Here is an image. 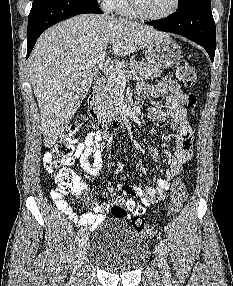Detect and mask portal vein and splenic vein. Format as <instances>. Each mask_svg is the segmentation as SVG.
<instances>
[{"mask_svg":"<svg viewBox=\"0 0 233 286\" xmlns=\"http://www.w3.org/2000/svg\"><path fill=\"white\" fill-rule=\"evenodd\" d=\"M106 51H103L97 58L92 59L87 62L85 65H82L81 68H93L98 67L100 70L106 73V75L115 79L119 83H123L126 81V75L121 72L117 67L111 65L108 61H105ZM134 75L133 71L129 72L128 77H132Z\"/></svg>","mask_w":233,"mask_h":286,"instance_id":"1","label":"portal vein and splenic vein"}]
</instances>
